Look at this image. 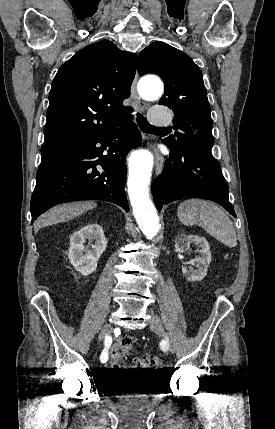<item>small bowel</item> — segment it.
Wrapping results in <instances>:
<instances>
[{"mask_svg": "<svg viewBox=\"0 0 275 429\" xmlns=\"http://www.w3.org/2000/svg\"><path fill=\"white\" fill-rule=\"evenodd\" d=\"M132 337L131 336H129V335H123L119 340H117L111 347H109L108 348V351H110V353H111V357H112V353H113V350L122 342V341H124V340H126V339H131ZM113 366H115V365H113Z\"/></svg>", "mask_w": 275, "mask_h": 429, "instance_id": "c3829d8e", "label": "small bowel"}]
</instances>
